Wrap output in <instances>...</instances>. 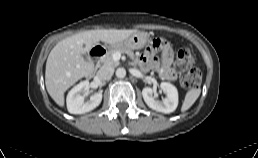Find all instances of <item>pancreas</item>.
Segmentation results:
<instances>
[{"label": "pancreas", "mask_w": 258, "mask_h": 158, "mask_svg": "<svg viewBox=\"0 0 258 158\" xmlns=\"http://www.w3.org/2000/svg\"><path fill=\"white\" fill-rule=\"evenodd\" d=\"M116 52L126 53L132 59L135 56L133 51H132V49L113 47L103 57V59H102L103 64L107 65V66H113V67L118 66L119 65V61L113 59V54L116 53Z\"/></svg>", "instance_id": "pancreas-1"}]
</instances>
